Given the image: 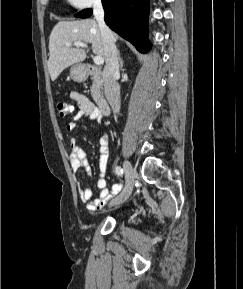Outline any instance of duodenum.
Wrapping results in <instances>:
<instances>
[{
    "label": "duodenum",
    "mask_w": 243,
    "mask_h": 289,
    "mask_svg": "<svg viewBox=\"0 0 243 289\" xmlns=\"http://www.w3.org/2000/svg\"><path fill=\"white\" fill-rule=\"evenodd\" d=\"M86 72L88 75L100 74V70L94 66H87ZM97 106L99 113L103 116H107L110 113V107L108 101L103 96H99L97 99Z\"/></svg>",
    "instance_id": "duodenum-1"
}]
</instances>
